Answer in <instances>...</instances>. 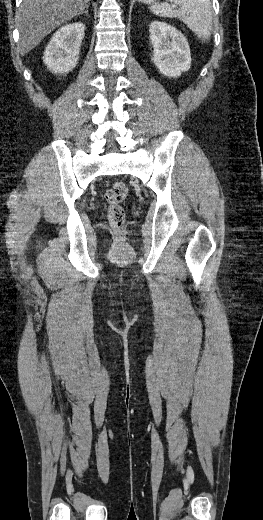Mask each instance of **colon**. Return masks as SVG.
Wrapping results in <instances>:
<instances>
[{
	"instance_id": "colon-1",
	"label": "colon",
	"mask_w": 263,
	"mask_h": 520,
	"mask_svg": "<svg viewBox=\"0 0 263 520\" xmlns=\"http://www.w3.org/2000/svg\"><path fill=\"white\" fill-rule=\"evenodd\" d=\"M127 195L128 187L120 181L112 183L105 192L107 217L111 225L116 229L122 228L126 220V213L122 203Z\"/></svg>"
}]
</instances>
